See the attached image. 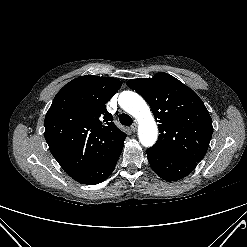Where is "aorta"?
Instances as JSON below:
<instances>
[{"label":"aorta","mask_w":247,"mask_h":247,"mask_svg":"<svg viewBox=\"0 0 247 247\" xmlns=\"http://www.w3.org/2000/svg\"><path fill=\"white\" fill-rule=\"evenodd\" d=\"M118 103L123 110L138 121L140 143L145 147L154 145L158 136V128L145 100L135 92L124 91L119 95Z\"/></svg>","instance_id":"obj_1"}]
</instances>
